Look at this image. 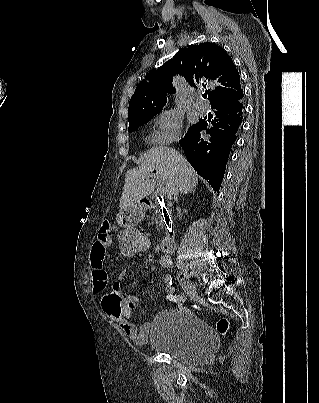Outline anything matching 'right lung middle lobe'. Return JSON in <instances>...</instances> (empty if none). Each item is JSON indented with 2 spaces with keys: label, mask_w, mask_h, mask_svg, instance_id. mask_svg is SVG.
Listing matches in <instances>:
<instances>
[{
  "label": "right lung middle lobe",
  "mask_w": 319,
  "mask_h": 403,
  "mask_svg": "<svg viewBox=\"0 0 319 403\" xmlns=\"http://www.w3.org/2000/svg\"><path fill=\"white\" fill-rule=\"evenodd\" d=\"M162 108L154 109V110L150 111L149 113L143 115L142 117L135 119L133 121H130L128 131L133 132L139 126H142V125L146 124L147 122H149L157 113H159L162 110Z\"/></svg>",
  "instance_id": "1"
}]
</instances>
